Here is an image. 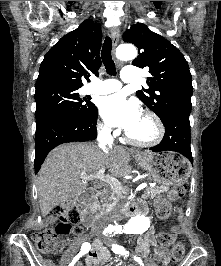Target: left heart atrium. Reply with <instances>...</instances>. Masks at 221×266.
<instances>
[{"mask_svg": "<svg viewBox=\"0 0 221 266\" xmlns=\"http://www.w3.org/2000/svg\"><path fill=\"white\" fill-rule=\"evenodd\" d=\"M99 110L109 126L120 127L125 131L132 129L142 117L138 102L128 99L123 93L103 98Z\"/></svg>", "mask_w": 221, "mask_h": 266, "instance_id": "39dd6f15", "label": "left heart atrium"}]
</instances>
